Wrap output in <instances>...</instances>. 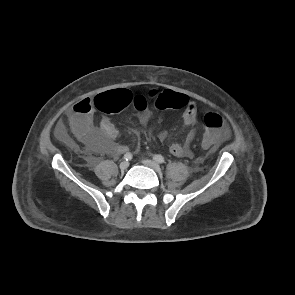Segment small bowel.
Listing matches in <instances>:
<instances>
[{
  "label": "small bowel",
  "instance_id": "1",
  "mask_svg": "<svg viewBox=\"0 0 295 295\" xmlns=\"http://www.w3.org/2000/svg\"><path fill=\"white\" fill-rule=\"evenodd\" d=\"M84 101H91L89 98L81 100L75 104L68 113L74 133L86 146L93 152L118 155L128 151V146L117 141L118 131L114 124L106 117H103L98 126L93 123V108L87 112L78 109V105ZM198 108L197 104L188 98L186 106L183 108L182 123L185 131L184 137L170 145L169 151L175 157L191 158L193 156L192 143L198 131ZM140 122L144 127H148L150 116L141 111L139 114ZM75 123V124H74ZM58 133L62 138L66 137L62 125L57 127ZM160 140L166 137L165 132H158Z\"/></svg>",
  "mask_w": 295,
  "mask_h": 295
}]
</instances>
